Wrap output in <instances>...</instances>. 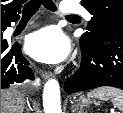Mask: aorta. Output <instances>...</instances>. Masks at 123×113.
<instances>
[{
	"label": "aorta",
	"mask_w": 123,
	"mask_h": 113,
	"mask_svg": "<svg viewBox=\"0 0 123 113\" xmlns=\"http://www.w3.org/2000/svg\"><path fill=\"white\" fill-rule=\"evenodd\" d=\"M44 113H61L60 86L56 79H49L43 90Z\"/></svg>",
	"instance_id": "aorta-1"
}]
</instances>
